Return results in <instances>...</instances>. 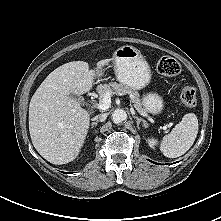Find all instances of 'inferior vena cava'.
Listing matches in <instances>:
<instances>
[{"instance_id":"inferior-vena-cava-1","label":"inferior vena cava","mask_w":221,"mask_h":221,"mask_svg":"<svg viewBox=\"0 0 221 221\" xmlns=\"http://www.w3.org/2000/svg\"><path fill=\"white\" fill-rule=\"evenodd\" d=\"M107 117V114H99L93 118L94 121H104Z\"/></svg>"}]
</instances>
